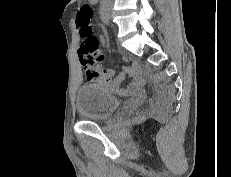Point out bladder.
<instances>
[{"instance_id": "obj_1", "label": "bladder", "mask_w": 231, "mask_h": 177, "mask_svg": "<svg viewBox=\"0 0 231 177\" xmlns=\"http://www.w3.org/2000/svg\"><path fill=\"white\" fill-rule=\"evenodd\" d=\"M79 115L86 120H101L111 115L118 107V99L100 86L80 88L75 98Z\"/></svg>"}]
</instances>
